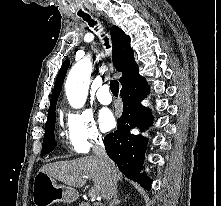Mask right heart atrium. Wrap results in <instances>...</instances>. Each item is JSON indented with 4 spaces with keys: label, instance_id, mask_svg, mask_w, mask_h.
I'll use <instances>...</instances> for the list:
<instances>
[{
    "label": "right heart atrium",
    "instance_id": "1",
    "mask_svg": "<svg viewBox=\"0 0 221 206\" xmlns=\"http://www.w3.org/2000/svg\"><path fill=\"white\" fill-rule=\"evenodd\" d=\"M67 139L74 152L87 153L102 142V135L88 111H71L67 115Z\"/></svg>",
    "mask_w": 221,
    "mask_h": 206
}]
</instances>
